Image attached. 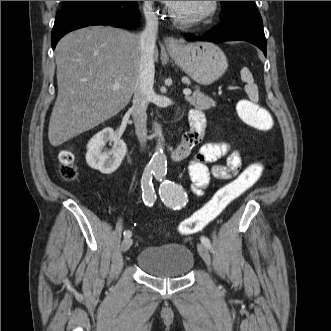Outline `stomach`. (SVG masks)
I'll list each match as a JSON object with an SVG mask.
<instances>
[{"mask_svg":"<svg viewBox=\"0 0 331 331\" xmlns=\"http://www.w3.org/2000/svg\"><path fill=\"white\" fill-rule=\"evenodd\" d=\"M171 55L180 68L201 85L212 84L228 68L224 52L211 42L180 44Z\"/></svg>","mask_w":331,"mask_h":331,"instance_id":"obj_1","label":"stomach"}]
</instances>
